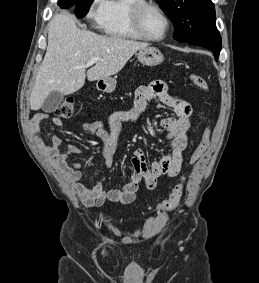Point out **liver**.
Returning a JSON list of instances; mask_svg holds the SVG:
<instances>
[{"label": "liver", "instance_id": "obj_1", "mask_svg": "<svg viewBox=\"0 0 259 283\" xmlns=\"http://www.w3.org/2000/svg\"><path fill=\"white\" fill-rule=\"evenodd\" d=\"M148 43L108 37L77 27L69 13L55 15L49 25L48 45L30 96L31 110H39L52 92L63 95L81 89L85 78L102 80L117 74ZM99 58L86 72L85 64Z\"/></svg>", "mask_w": 259, "mask_h": 283}]
</instances>
